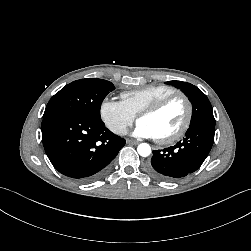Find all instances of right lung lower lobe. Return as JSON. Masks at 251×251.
Returning a JSON list of instances; mask_svg holds the SVG:
<instances>
[{
  "mask_svg": "<svg viewBox=\"0 0 251 251\" xmlns=\"http://www.w3.org/2000/svg\"><path fill=\"white\" fill-rule=\"evenodd\" d=\"M42 141L52 165L80 182L100 177L125 145L100 118L68 113L43 115Z\"/></svg>",
  "mask_w": 251,
  "mask_h": 251,
  "instance_id": "98d812e1",
  "label": "right lung lower lobe"
}]
</instances>
